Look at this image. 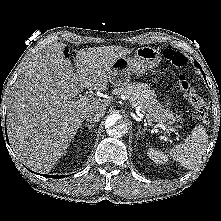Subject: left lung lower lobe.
<instances>
[{"label": "left lung lower lobe", "mask_w": 221, "mask_h": 221, "mask_svg": "<svg viewBox=\"0 0 221 221\" xmlns=\"http://www.w3.org/2000/svg\"><path fill=\"white\" fill-rule=\"evenodd\" d=\"M198 68H200L201 69V67H198ZM202 71V70H201ZM202 74H203V76L205 77V75H204V72L202 71Z\"/></svg>", "instance_id": "0a47b994"}]
</instances>
